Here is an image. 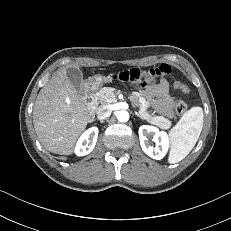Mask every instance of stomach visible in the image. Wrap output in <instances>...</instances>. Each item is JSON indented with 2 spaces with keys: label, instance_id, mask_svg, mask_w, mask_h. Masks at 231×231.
I'll list each match as a JSON object with an SVG mask.
<instances>
[{
  "label": "stomach",
  "instance_id": "1",
  "mask_svg": "<svg viewBox=\"0 0 231 231\" xmlns=\"http://www.w3.org/2000/svg\"><path fill=\"white\" fill-rule=\"evenodd\" d=\"M112 80L109 77L103 76L101 74H96L92 77H89L86 80V84L91 88H98L106 82H111Z\"/></svg>",
  "mask_w": 231,
  "mask_h": 231
}]
</instances>
